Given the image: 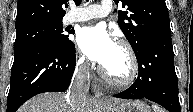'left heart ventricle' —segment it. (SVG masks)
<instances>
[{
  "label": "left heart ventricle",
  "instance_id": "b2bd125f",
  "mask_svg": "<svg viewBox=\"0 0 193 112\" xmlns=\"http://www.w3.org/2000/svg\"><path fill=\"white\" fill-rule=\"evenodd\" d=\"M103 68L115 78L125 77L129 71V59L126 51L117 45L112 57Z\"/></svg>",
  "mask_w": 193,
  "mask_h": 112
}]
</instances>
